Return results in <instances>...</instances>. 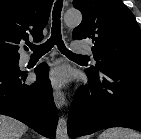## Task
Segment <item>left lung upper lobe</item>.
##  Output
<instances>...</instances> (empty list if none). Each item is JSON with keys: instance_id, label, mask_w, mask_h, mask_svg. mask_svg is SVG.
I'll use <instances>...</instances> for the list:
<instances>
[{"instance_id": "left-lung-upper-lobe-1", "label": "left lung upper lobe", "mask_w": 141, "mask_h": 139, "mask_svg": "<svg viewBox=\"0 0 141 139\" xmlns=\"http://www.w3.org/2000/svg\"><path fill=\"white\" fill-rule=\"evenodd\" d=\"M83 14L81 24L73 30V38L93 43L96 66L141 70V32L133 13L121 0H73Z\"/></svg>"}]
</instances>
